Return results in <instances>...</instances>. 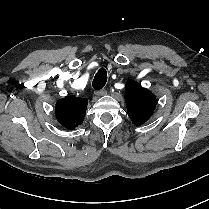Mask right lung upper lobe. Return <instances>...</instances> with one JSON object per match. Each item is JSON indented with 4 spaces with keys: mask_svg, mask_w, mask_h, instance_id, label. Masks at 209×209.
Wrapping results in <instances>:
<instances>
[{
    "mask_svg": "<svg viewBox=\"0 0 209 209\" xmlns=\"http://www.w3.org/2000/svg\"><path fill=\"white\" fill-rule=\"evenodd\" d=\"M88 101L86 98L66 96L56 102L55 113L59 123L74 130L85 117Z\"/></svg>",
    "mask_w": 209,
    "mask_h": 209,
    "instance_id": "obj_1",
    "label": "right lung upper lobe"
}]
</instances>
